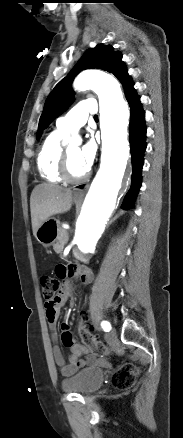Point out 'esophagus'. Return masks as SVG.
I'll return each mask as SVG.
<instances>
[{
	"label": "esophagus",
	"instance_id": "esophagus-1",
	"mask_svg": "<svg viewBox=\"0 0 183 438\" xmlns=\"http://www.w3.org/2000/svg\"><path fill=\"white\" fill-rule=\"evenodd\" d=\"M84 193H83V191L82 190H77L76 191V195H78V196H81V195H83Z\"/></svg>",
	"mask_w": 183,
	"mask_h": 438
}]
</instances>
